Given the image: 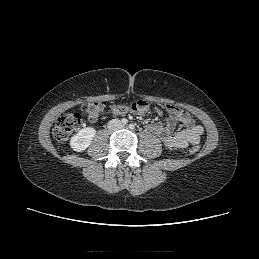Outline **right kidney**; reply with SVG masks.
Masks as SVG:
<instances>
[{"label":"right kidney","instance_id":"ca27d5eb","mask_svg":"<svg viewBox=\"0 0 259 259\" xmlns=\"http://www.w3.org/2000/svg\"><path fill=\"white\" fill-rule=\"evenodd\" d=\"M96 130L93 127H86L81 129L70 140V146L74 151L81 152L89 147Z\"/></svg>","mask_w":259,"mask_h":259}]
</instances>
